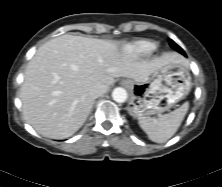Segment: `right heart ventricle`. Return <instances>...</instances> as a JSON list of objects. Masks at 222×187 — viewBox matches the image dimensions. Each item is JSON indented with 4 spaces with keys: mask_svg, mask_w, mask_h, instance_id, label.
<instances>
[{
    "mask_svg": "<svg viewBox=\"0 0 222 187\" xmlns=\"http://www.w3.org/2000/svg\"><path fill=\"white\" fill-rule=\"evenodd\" d=\"M155 43L149 40H136L125 45L124 51L131 57L140 58L151 54L155 50Z\"/></svg>",
    "mask_w": 222,
    "mask_h": 187,
    "instance_id": "1",
    "label": "right heart ventricle"
}]
</instances>
